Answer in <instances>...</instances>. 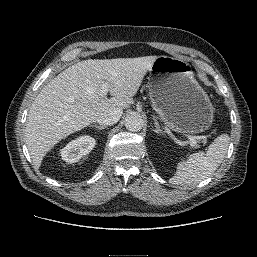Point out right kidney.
<instances>
[{
    "mask_svg": "<svg viewBox=\"0 0 257 257\" xmlns=\"http://www.w3.org/2000/svg\"><path fill=\"white\" fill-rule=\"evenodd\" d=\"M96 141L91 136H80L70 141L60 150L62 160L71 164L78 162L83 156L87 155L94 148Z\"/></svg>",
    "mask_w": 257,
    "mask_h": 257,
    "instance_id": "ca27d5eb",
    "label": "right kidney"
}]
</instances>
